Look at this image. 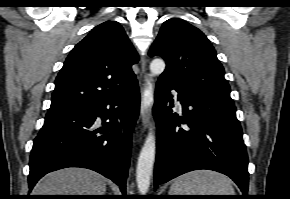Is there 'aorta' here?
<instances>
[{
    "instance_id": "1",
    "label": "aorta",
    "mask_w": 290,
    "mask_h": 199,
    "mask_svg": "<svg viewBox=\"0 0 290 199\" xmlns=\"http://www.w3.org/2000/svg\"><path fill=\"white\" fill-rule=\"evenodd\" d=\"M165 70V62L156 58L150 63L151 75H160ZM156 152V137L154 126L151 125L149 133L140 151L137 168H136V182L139 192L145 195L150 187L151 177L153 174V165L155 161Z\"/></svg>"
}]
</instances>
